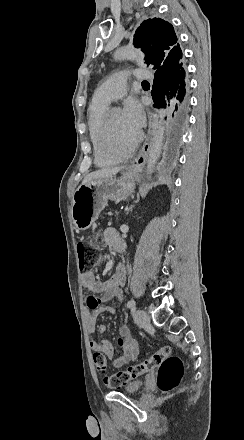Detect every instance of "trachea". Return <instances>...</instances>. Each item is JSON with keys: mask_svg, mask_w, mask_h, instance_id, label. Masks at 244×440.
<instances>
[{"mask_svg": "<svg viewBox=\"0 0 244 440\" xmlns=\"http://www.w3.org/2000/svg\"><path fill=\"white\" fill-rule=\"evenodd\" d=\"M142 83H148L147 80H144Z\"/></svg>", "mask_w": 244, "mask_h": 440, "instance_id": "3493384b", "label": "trachea"}]
</instances>
